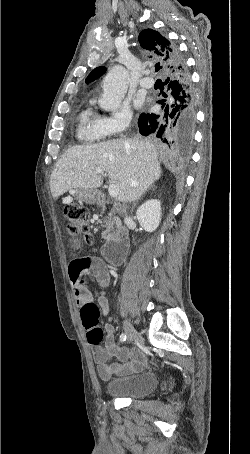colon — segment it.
Wrapping results in <instances>:
<instances>
[{
    "mask_svg": "<svg viewBox=\"0 0 250 454\" xmlns=\"http://www.w3.org/2000/svg\"><path fill=\"white\" fill-rule=\"evenodd\" d=\"M65 215L68 220V233L70 246L79 249L81 245L91 244L89 211L76 203H69L65 207ZM82 324L87 330V339L90 344L96 345L103 339V330L98 326L100 310L94 303H88L80 308Z\"/></svg>",
    "mask_w": 250,
    "mask_h": 454,
    "instance_id": "5ec220e1",
    "label": "colon"
}]
</instances>
